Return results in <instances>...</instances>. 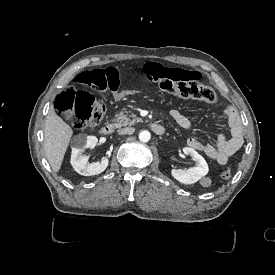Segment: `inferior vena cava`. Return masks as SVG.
I'll use <instances>...</instances> for the list:
<instances>
[{
    "instance_id": "inferior-vena-cava-1",
    "label": "inferior vena cava",
    "mask_w": 275,
    "mask_h": 275,
    "mask_svg": "<svg viewBox=\"0 0 275 275\" xmlns=\"http://www.w3.org/2000/svg\"><path fill=\"white\" fill-rule=\"evenodd\" d=\"M134 132H135V128L133 127H126L117 131L119 135L133 134Z\"/></svg>"
}]
</instances>
